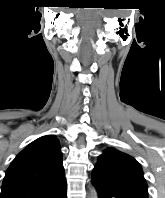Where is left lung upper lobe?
<instances>
[{
	"label": "left lung upper lobe",
	"instance_id": "obj_1",
	"mask_svg": "<svg viewBox=\"0 0 165 198\" xmlns=\"http://www.w3.org/2000/svg\"><path fill=\"white\" fill-rule=\"evenodd\" d=\"M93 172L121 189L148 198L141 166L128 154L108 148L99 156Z\"/></svg>",
	"mask_w": 165,
	"mask_h": 198
}]
</instances>
